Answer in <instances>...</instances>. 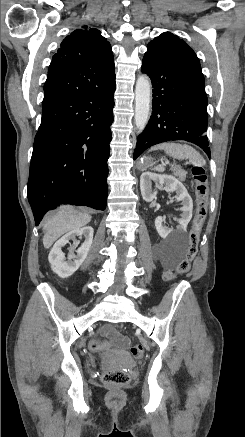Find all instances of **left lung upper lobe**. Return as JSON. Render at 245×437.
I'll list each match as a JSON object with an SVG mask.
<instances>
[{"label": "left lung upper lobe", "mask_w": 245, "mask_h": 437, "mask_svg": "<svg viewBox=\"0 0 245 437\" xmlns=\"http://www.w3.org/2000/svg\"><path fill=\"white\" fill-rule=\"evenodd\" d=\"M147 47L150 49H160L166 54L201 70L199 59L193 49L178 36L170 32L162 33L152 40Z\"/></svg>", "instance_id": "5c2ea615"}]
</instances>
